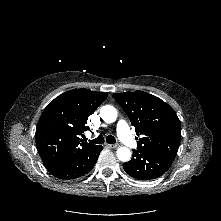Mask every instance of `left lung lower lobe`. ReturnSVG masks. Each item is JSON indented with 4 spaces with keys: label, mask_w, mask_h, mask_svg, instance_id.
<instances>
[{
    "label": "left lung lower lobe",
    "mask_w": 221,
    "mask_h": 221,
    "mask_svg": "<svg viewBox=\"0 0 221 221\" xmlns=\"http://www.w3.org/2000/svg\"><path fill=\"white\" fill-rule=\"evenodd\" d=\"M175 158L145 150H133V157L123 164L127 174L138 180H151L163 175Z\"/></svg>",
    "instance_id": "1"
}]
</instances>
